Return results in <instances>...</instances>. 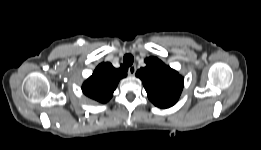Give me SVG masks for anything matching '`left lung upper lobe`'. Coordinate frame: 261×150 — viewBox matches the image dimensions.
<instances>
[{"mask_svg":"<svg viewBox=\"0 0 261 150\" xmlns=\"http://www.w3.org/2000/svg\"><path fill=\"white\" fill-rule=\"evenodd\" d=\"M146 67L139 69V77L150 101L159 108H169L179 99L183 89V77L156 57L145 59Z\"/></svg>","mask_w":261,"mask_h":150,"instance_id":"obj_1","label":"left lung upper lobe"}]
</instances>
